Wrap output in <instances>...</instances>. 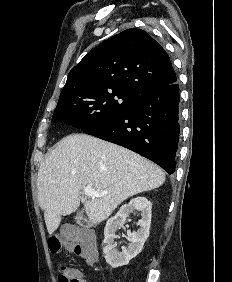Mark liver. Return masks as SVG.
<instances>
[{
  "label": "liver",
  "instance_id": "1",
  "mask_svg": "<svg viewBox=\"0 0 232 282\" xmlns=\"http://www.w3.org/2000/svg\"><path fill=\"white\" fill-rule=\"evenodd\" d=\"M164 181L165 173L135 152L75 133L60 140L41 164L37 177L38 202L51 235L62 216L77 210L86 186L106 193L84 203L89 220L97 224L127 198L156 189Z\"/></svg>",
  "mask_w": 232,
  "mask_h": 282
}]
</instances>
